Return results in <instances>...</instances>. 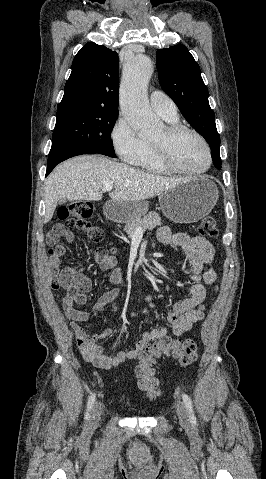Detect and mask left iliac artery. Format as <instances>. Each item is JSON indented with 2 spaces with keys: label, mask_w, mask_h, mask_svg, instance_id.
I'll use <instances>...</instances> for the list:
<instances>
[{
  "label": "left iliac artery",
  "mask_w": 266,
  "mask_h": 479,
  "mask_svg": "<svg viewBox=\"0 0 266 479\" xmlns=\"http://www.w3.org/2000/svg\"><path fill=\"white\" fill-rule=\"evenodd\" d=\"M182 399H183V402H184V404H185V407H186V409H187V411H188L190 420H191V421H195V420H196V417H195V414H194V410H193V405H192L191 398H190L186 393H182Z\"/></svg>",
  "instance_id": "obj_1"
}]
</instances>
